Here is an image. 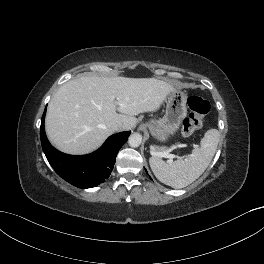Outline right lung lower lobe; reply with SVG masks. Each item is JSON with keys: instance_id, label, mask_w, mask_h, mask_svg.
<instances>
[{"instance_id": "obj_1", "label": "right lung lower lobe", "mask_w": 264, "mask_h": 264, "mask_svg": "<svg viewBox=\"0 0 264 264\" xmlns=\"http://www.w3.org/2000/svg\"><path fill=\"white\" fill-rule=\"evenodd\" d=\"M45 114L46 109L41 119V144L55 172L65 181L79 188L95 187L107 179L113 170L118 151L131 132H121L110 136L94 153L72 156L56 150L49 143L44 129Z\"/></svg>"}]
</instances>
